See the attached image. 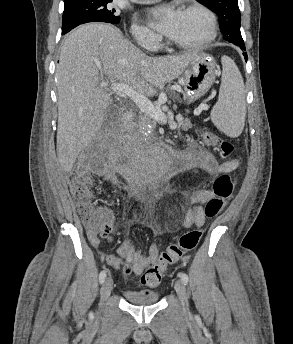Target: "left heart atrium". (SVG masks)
Returning <instances> with one entry per match:
<instances>
[{
	"label": "left heart atrium",
	"instance_id": "1",
	"mask_svg": "<svg viewBox=\"0 0 293 344\" xmlns=\"http://www.w3.org/2000/svg\"><path fill=\"white\" fill-rule=\"evenodd\" d=\"M177 17L178 11L169 6L153 8L147 13L151 27L167 36L173 31Z\"/></svg>",
	"mask_w": 293,
	"mask_h": 344
}]
</instances>
